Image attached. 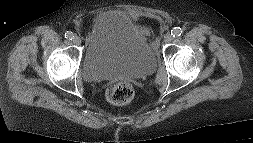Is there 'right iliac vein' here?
<instances>
[{"mask_svg":"<svg viewBox=\"0 0 253 143\" xmlns=\"http://www.w3.org/2000/svg\"><path fill=\"white\" fill-rule=\"evenodd\" d=\"M72 42H73L75 45H80V44H81V38H80L78 35H75V36H73V38H72Z\"/></svg>","mask_w":253,"mask_h":143,"instance_id":"right-iliac-vein-1","label":"right iliac vein"}]
</instances>
